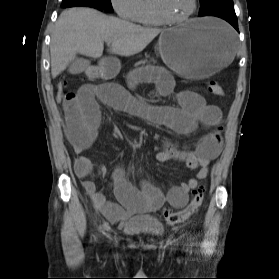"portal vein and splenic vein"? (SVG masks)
<instances>
[{
  "mask_svg": "<svg viewBox=\"0 0 279 279\" xmlns=\"http://www.w3.org/2000/svg\"><path fill=\"white\" fill-rule=\"evenodd\" d=\"M106 42H107V44L109 45V44L111 43V40H107Z\"/></svg>",
  "mask_w": 279,
  "mask_h": 279,
  "instance_id": "18ae733b",
  "label": "portal vein and splenic vein"
}]
</instances>
